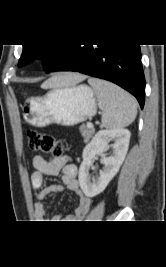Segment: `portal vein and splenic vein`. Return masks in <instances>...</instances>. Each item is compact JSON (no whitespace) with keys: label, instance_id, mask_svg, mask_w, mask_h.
Listing matches in <instances>:
<instances>
[{"label":"portal vein and splenic vein","instance_id":"18ae733b","mask_svg":"<svg viewBox=\"0 0 166 267\" xmlns=\"http://www.w3.org/2000/svg\"><path fill=\"white\" fill-rule=\"evenodd\" d=\"M88 128H93V124L91 122L87 123Z\"/></svg>","mask_w":166,"mask_h":267}]
</instances>
